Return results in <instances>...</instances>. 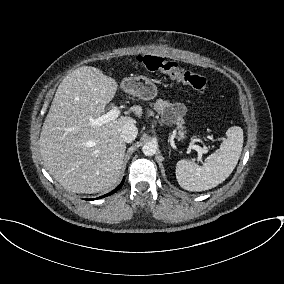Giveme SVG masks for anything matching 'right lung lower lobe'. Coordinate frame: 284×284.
Returning a JSON list of instances; mask_svg holds the SVG:
<instances>
[{"label":"right lung lower lobe","instance_id":"right-lung-lower-lobe-1","mask_svg":"<svg viewBox=\"0 0 284 284\" xmlns=\"http://www.w3.org/2000/svg\"><path fill=\"white\" fill-rule=\"evenodd\" d=\"M124 180L125 179H123V181L121 182V184L116 188V189H114L113 191H111L110 193H108V194H106V195H104V196H101V197H99V198H103V197H106V196H108V195H111V194H113V193H115L118 189H120V187H122V185H123V183H124ZM96 199H98V198H96ZM91 200V199H90ZM94 200V199H93Z\"/></svg>","mask_w":284,"mask_h":284}]
</instances>
